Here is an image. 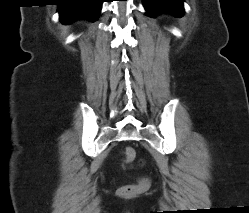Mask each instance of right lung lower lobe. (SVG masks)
Returning a JSON list of instances; mask_svg holds the SVG:
<instances>
[{"label":"right lung lower lobe","mask_w":249,"mask_h":213,"mask_svg":"<svg viewBox=\"0 0 249 213\" xmlns=\"http://www.w3.org/2000/svg\"><path fill=\"white\" fill-rule=\"evenodd\" d=\"M103 0H60L58 11L63 22L68 23L76 18L96 20L101 11Z\"/></svg>","instance_id":"right-lung-lower-lobe-1"}]
</instances>
